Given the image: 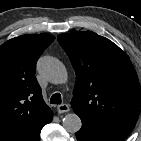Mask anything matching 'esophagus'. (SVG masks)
Here are the masks:
<instances>
[{
    "mask_svg": "<svg viewBox=\"0 0 141 141\" xmlns=\"http://www.w3.org/2000/svg\"><path fill=\"white\" fill-rule=\"evenodd\" d=\"M57 110L59 114H62L68 112L70 110V107L67 104H61L57 107Z\"/></svg>",
    "mask_w": 141,
    "mask_h": 141,
    "instance_id": "obj_1",
    "label": "esophagus"
}]
</instances>
